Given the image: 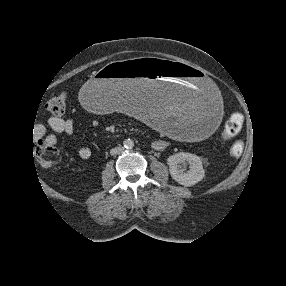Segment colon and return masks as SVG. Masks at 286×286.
<instances>
[{
  "label": "colon",
  "mask_w": 286,
  "mask_h": 286,
  "mask_svg": "<svg viewBox=\"0 0 286 286\" xmlns=\"http://www.w3.org/2000/svg\"><path fill=\"white\" fill-rule=\"evenodd\" d=\"M67 104V95L65 93H60L47 102L46 108L53 115H63L66 113ZM243 122L244 116L241 113H233L225 125L222 139L224 141H228L236 137L242 129ZM242 150V143L236 142L232 145L230 152L232 155H239ZM34 152L39 163L44 167L52 166L58 158L57 149L53 146L52 143L44 139H38L35 142Z\"/></svg>",
  "instance_id": "5ec220e1"
}]
</instances>
